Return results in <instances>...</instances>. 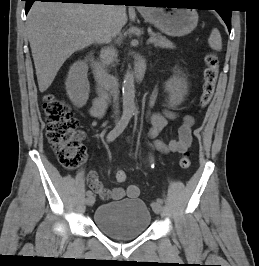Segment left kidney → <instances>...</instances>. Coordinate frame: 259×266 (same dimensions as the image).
<instances>
[{"label":"left kidney","mask_w":259,"mask_h":266,"mask_svg":"<svg viewBox=\"0 0 259 266\" xmlns=\"http://www.w3.org/2000/svg\"><path fill=\"white\" fill-rule=\"evenodd\" d=\"M175 74L165 83V92L168 93V105L174 108L180 105L188 92L187 79L180 75V70L174 71Z\"/></svg>","instance_id":"left-kidney-1"}]
</instances>
